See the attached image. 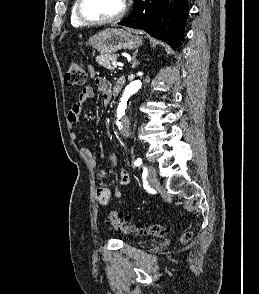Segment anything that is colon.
I'll return each mask as SVG.
<instances>
[{"label":"colon","mask_w":259,"mask_h":294,"mask_svg":"<svg viewBox=\"0 0 259 294\" xmlns=\"http://www.w3.org/2000/svg\"><path fill=\"white\" fill-rule=\"evenodd\" d=\"M86 73L82 64L78 61H71L64 76V81L68 86H81L86 82ZM106 223L119 233L133 234V235H161L166 233L169 229L160 224H152L144 226L142 224H135L130 218L124 217L122 213L117 210L109 212L106 218ZM191 238V233L186 232L182 236V242H187Z\"/></svg>","instance_id":"5ec220e1"}]
</instances>
